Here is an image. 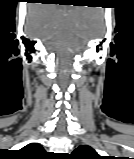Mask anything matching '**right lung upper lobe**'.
Masks as SVG:
<instances>
[{
	"label": "right lung upper lobe",
	"mask_w": 134,
	"mask_h": 159,
	"mask_svg": "<svg viewBox=\"0 0 134 159\" xmlns=\"http://www.w3.org/2000/svg\"><path fill=\"white\" fill-rule=\"evenodd\" d=\"M20 151L26 153L29 157H33V159H39L38 156L43 153L44 149L37 143H31L23 147Z\"/></svg>",
	"instance_id": "right-lung-upper-lobe-1"
}]
</instances>
